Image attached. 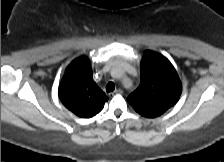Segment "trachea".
I'll return each mask as SVG.
<instances>
[{
	"instance_id": "1",
	"label": "trachea",
	"mask_w": 224,
	"mask_h": 162,
	"mask_svg": "<svg viewBox=\"0 0 224 162\" xmlns=\"http://www.w3.org/2000/svg\"><path fill=\"white\" fill-rule=\"evenodd\" d=\"M115 89V84L113 82H109L107 85H106V91L109 93V92H113Z\"/></svg>"
}]
</instances>
